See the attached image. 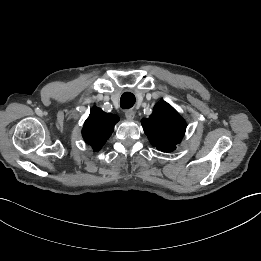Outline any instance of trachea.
Returning <instances> with one entry per match:
<instances>
[{
    "mask_svg": "<svg viewBox=\"0 0 261 261\" xmlns=\"http://www.w3.org/2000/svg\"><path fill=\"white\" fill-rule=\"evenodd\" d=\"M135 103V96L130 92H125L122 94L120 99V106L122 108H131Z\"/></svg>",
    "mask_w": 261,
    "mask_h": 261,
    "instance_id": "3493384b",
    "label": "trachea"
}]
</instances>
